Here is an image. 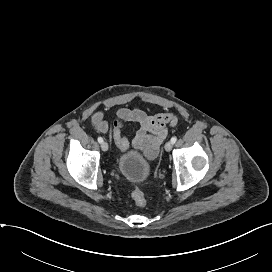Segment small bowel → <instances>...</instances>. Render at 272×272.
<instances>
[{
    "mask_svg": "<svg viewBox=\"0 0 272 272\" xmlns=\"http://www.w3.org/2000/svg\"><path fill=\"white\" fill-rule=\"evenodd\" d=\"M118 118L112 128V137L120 151L129 149V141L123 134V125L136 123L139 125L132 141L133 147L149 158L153 159L159 152L160 145L166 139L167 125L175 127L178 123L177 116L172 112L148 114L140 108H121L117 114ZM102 131L107 130V125L100 126Z\"/></svg>",
    "mask_w": 272,
    "mask_h": 272,
    "instance_id": "1",
    "label": "small bowel"
}]
</instances>
